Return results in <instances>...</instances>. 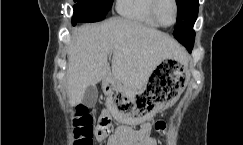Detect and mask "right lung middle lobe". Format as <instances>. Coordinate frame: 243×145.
<instances>
[{
  "label": "right lung middle lobe",
  "mask_w": 243,
  "mask_h": 145,
  "mask_svg": "<svg viewBox=\"0 0 243 145\" xmlns=\"http://www.w3.org/2000/svg\"><path fill=\"white\" fill-rule=\"evenodd\" d=\"M76 8L89 9L99 15H107L113 0H74Z\"/></svg>",
  "instance_id": "1"
}]
</instances>
